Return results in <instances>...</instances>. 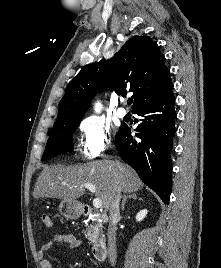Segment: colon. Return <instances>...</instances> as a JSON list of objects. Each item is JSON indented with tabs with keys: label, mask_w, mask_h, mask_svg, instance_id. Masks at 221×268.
<instances>
[{
	"label": "colon",
	"mask_w": 221,
	"mask_h": 268,
	"mask_svg": "<svg viewBox=\"0 0 221 268\" xmlns=\"http://www.w3.org/2000/svg\"><path fill=\"white\" fill-rule=\"evenodd\" d=\"M41 222L45 228L47 229L53 228V221L48 214L44 213L41 215Z\"/></svg>",
	"instance_id": "obj_1"
}]
</instances>
